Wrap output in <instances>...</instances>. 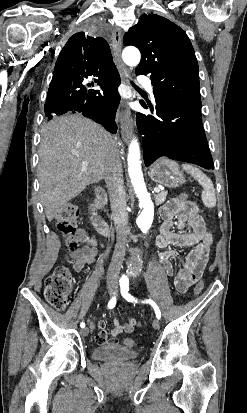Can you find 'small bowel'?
I'll return each instance as SVG.
<instances>
[{"label":"small bowel","mask_w":247,"mask_h":413,"mask_svg":"<svg viewBox=\"0 0 247 413\" xmlns=\"http://www.w3.org/2000/svg\"><path fill=\"white\" fill-rule=\"evenodd\" d=\"M161 215L163 222L156 240L159 262L166 273L173 277V286L176 290L183 293L202 276L209 248L205 244V239L211 234L206 229L199 207L194 203L170 202L162 208ZM174 226L178 229L187 228L189 232H174L172 231ZM170 245L192 247V250L183 260L182 267L177 272L174 271L171 263V259L176 254L168 249ZM97 257L98 250L96 248L84 247L71 253L67 259L72 262L74 272L80 273L85 265L94 263ZM100 322L105 323L101 320L98 322V326ZM139 324V321L135 318H129L125 324H121L118 319H114V328L111 330V334L107 329H100L96 341L98 343L108 341L107 347L116 349L118 347V335L131 333Z\"/></svg>","instance_id":"c3829d8e"}]
</instances>
